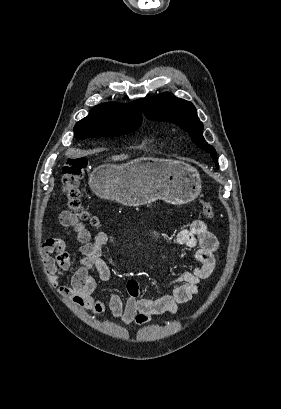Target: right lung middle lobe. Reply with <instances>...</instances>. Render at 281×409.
Returning a JSON list of instances; mask_svg holds the SVG:
<instances>
[{"label":"right lung middle lobe","mask_w":281,"mask_h":409,"mask_svg":"<svg viewBox=\"0 0 281 409\" xmlns=\"http://www.w3.org/2000/svg\"><path fill=\"white\" fill-rule=\"evenodd\" d=\"M139 127L140 125L129 127H80L76 129L74 128V133L77 138L102 136L111 137L129 134Z\"/></svg>","instance_id":"right-lung-middle-lobe-1"}]
</instances>
